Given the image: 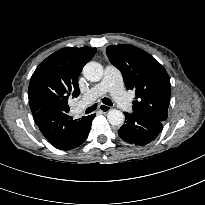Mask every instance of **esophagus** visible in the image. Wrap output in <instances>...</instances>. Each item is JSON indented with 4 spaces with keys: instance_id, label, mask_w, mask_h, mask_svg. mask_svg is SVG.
Returning a JSON list of instances; mask_svg holds the SVG:
<instances>
[{
    "instance_id": "esophagus-1",
    "label": "esophagus",
    "mask_w": 205,
    "mask_h": 205,
    "mask_svg": "<svg viewBox=\"0 0 205 205\" xmlns=\"http://www.w3.org/2000/svg\"><path fill=\"white\" fill-rule=\"evenodd\" d=\"M98 110L101 111L102 113H107L111 110V108L108 105L100 104Z\"/></svg>"
}]
</instances>
